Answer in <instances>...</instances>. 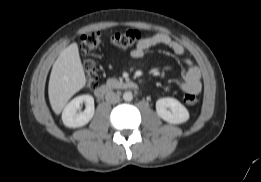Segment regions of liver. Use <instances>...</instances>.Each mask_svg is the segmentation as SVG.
<instances>
[{"instance_id":"obj_1","label":"liver","mask_w":261,"mask_h":182,"mask_svg":"<svg viewBox=\"0 0 261 182\" xmlns=\"http://www.w3.org/2000/svg\"><path fill=\"white\" fill-rule=\"evenodd\" d=\"M86 84L77 43H72L59 54L53 64L48 95L53 111L58 115L69 99Z\"/></svg>"}]
</instances>
